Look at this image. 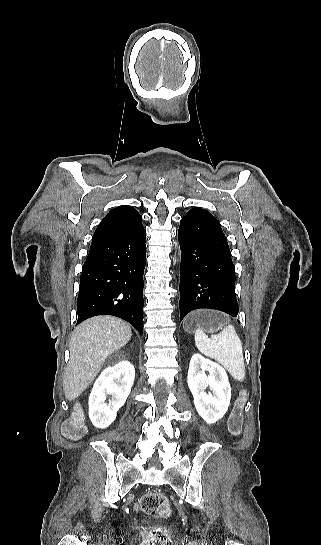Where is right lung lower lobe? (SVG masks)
Returning a JSON list of instances; mask_svg holds the SVG:
<instances>
[{"mask_svg": "<svg viewBox=\"0 0 321 545\" xmlns=\"http://www.w3.org/2000/svg\"><path fill=\"white\" fill-rule=\"evenodd\" d=\"M145 242L141 225L119 237L91 244L80 276L77 324L96 315H113L142 334Z\"/></svg>", "mask_w": 321, "mask_h": 545, "instance_id": "obj_1", "label": "right lung lower lobe"}]
</instances>
